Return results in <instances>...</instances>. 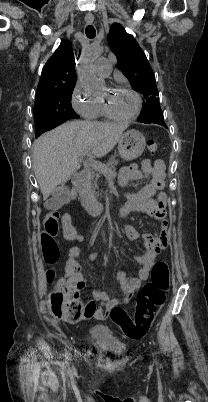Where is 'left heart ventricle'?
Here are the masks:
<instances>
[{"instance_id":"b2bd125f","label":"left heart ventricle","mask_w":208,"mask_h":402,"mask_svg":"<svg viewBox=\"0 0 208 402\" xmlns=\"http://www.w3.org/2000/svg\"><path fill=\"white\" fill-rule=\"evenodd\" d=\"M104 85L97 92V96L104 93ZM107 98L114 111L122 115L133 113L137 106L135 96L124 90H115L112 94H108Z\"/></svg>"}]
</instances>
